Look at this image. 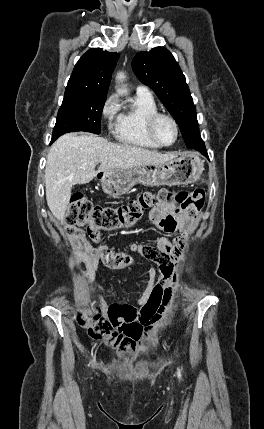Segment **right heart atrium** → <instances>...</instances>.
<instances>
[{
	"instance_id": "1",
	"label": "right heart atrium",
	"mask_w": 264,
	"mask_h": 429,
	"mask_svg": "<svg viewBox=\"0 0 264 429\" xmlns=\"http://www.w3.org/2000/svg\"><path fill=\"white\" fill-rule=\"evenodd\" d=\"M118 114V102L115 96H108L102 104L101 115L109 128L115 125Z\"/></svg>"
}]
</instances>
